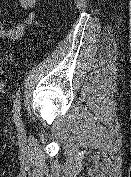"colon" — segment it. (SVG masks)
I'll use <instances>...</instances> for the list:
<instances>
[{
  "label": "colon",
  "instance_id": "obj_1",
  "mask_svg": "<svg viewBox=\"0 0 131 177\" xmlns=\"http://www.w3.org/2000/svg\"><path fill=\"white\" fill-rule=\"evenodd\" d=\"M7 68V63L0 58V72H3Z\"/></svg>",
  "mask_w": 131,
  "mask_h": 177
}]
</instances>
